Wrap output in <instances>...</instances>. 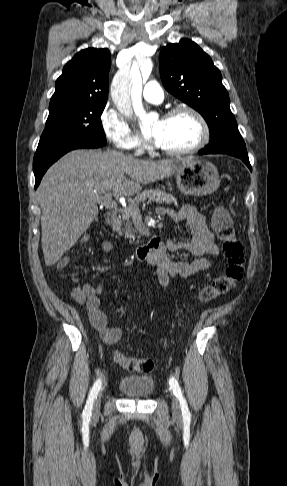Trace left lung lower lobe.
I'll return each mask as SVG.
<instances>
[{
    "mask_svg": "<svg viewBox=\"0 0 287 486\" xmlns=\"http://www.w3.org/2000/svg\"><path fill=\"white\" fill-rule=\"evenodd\" d=\"M198 154L202 155L204 153L199 151ZM236 157L240 158L248 166V168L252 171L248 156H236Z\"/></svg>",
    "mask_w": 287,
    "mask_h": 486,
    "instance_id": "0a47b994",
    "label": "left lung lower lobe"
}]
</instances>
